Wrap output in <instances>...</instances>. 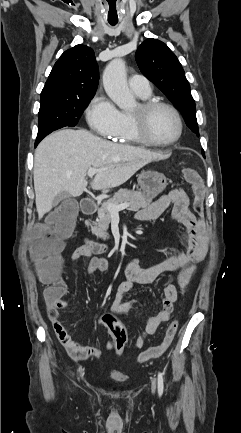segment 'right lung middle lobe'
<instances>
[{
    "label": "right lung middle lobe",
    "mask_w": 241,
    "mask_h": 433,
    "mask_svg": "<svg viewBox=\"0 0 241 433\" xmlns=\"http://www.w3.org/2000/svg\"><path fill=\"white\" fill-rule=\"evenodd\" d=\"M92 98H51L40 101L36 144L54 130L65 126H75Z\"/></svg>",
    "instance_id": "1"
}]
</instances>
